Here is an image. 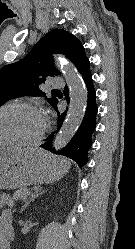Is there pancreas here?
<instances>
[{
	"label": "pancreas",
	"instance_id": "1",
	"mask_svg": "<svg viewBox=\"0 0 135 249\" xmlns=\"http://www.w3.org/2000/svg\"><path fill=\"white\" fill-rule=\"evenodd\" d=\"M29 190L27 188H20L19 190L15 191L13 194V198L15 200L25 199L29 194Z\"/></svg>",
	"mask_w": 135,
	"mask_h": 249
}]
</instances>
